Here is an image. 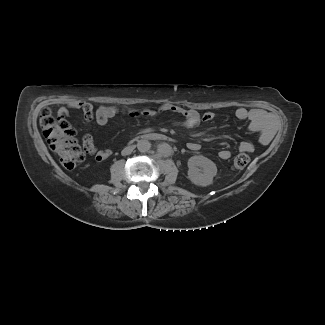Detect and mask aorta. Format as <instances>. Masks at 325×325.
I'll list each match as a JSON object with an SVG mask.
<instances>
[{"label": "aorta", "instance_id": "1", "mask_svg": "<svg viewBox=\"0 0 325 325\" xmlns=\"http://www.w3.org/2000/svg\"><path fill=\"white\" fill-rule=\"evenodd\" d=\"M137 148L142 153L148 152L151 148V143L145 139L139 140L137 143Z\"/></svg>", "mask_w": 325, "mask_h": 325}]
</instances>
